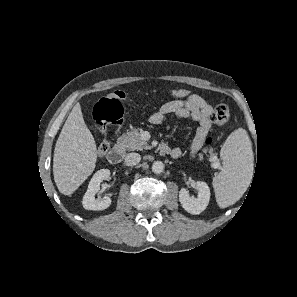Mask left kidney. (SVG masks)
I'll return each mask as SVG.
<instances>
[{"mask_svg":"<svg viewBox=\"0 0 297 297\" xmlns=\"http://www.w3.org/2000/svg\"><path fill=\"white\" fill-rule=\"evenodd\" d=\"M196 188L199 190L197 198L189 196L186 189L182 188L179 192V201L182 207L191 214H200L204 211L210 200V189L207 183L197 181Z\"/></svg>","mask_w":297,"mask_h":297,"instance_id":"5707ae66","label":"left kidney"}]
</instances>
